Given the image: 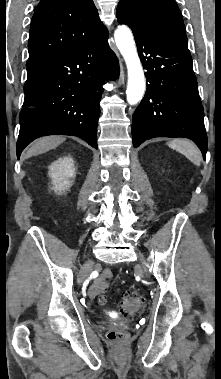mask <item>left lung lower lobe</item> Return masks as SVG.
<instances>
[{
	"label": "left lung lower lobe",
	"mask_w": 221,
	"mask_h": 379,
	"mask_svg": "<svg viewBox=\"0 0 221 379\" xmlns=\"http://www.w3.org/2000/svg\"><path fill=\"white\" fill-rule=\"evenodd\" d=\"M117 19L132 29L149 82L133 115L134 147L155 137H186L205 158L204 112L187 45L145 31L123 12H117Z\"/></svg>",
	"instance_id": "0a47b994"
}]
</instances>
